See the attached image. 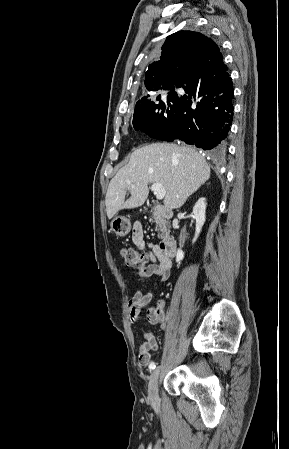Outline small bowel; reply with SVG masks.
<instances>
[{"mask_svg":"<svg viewBox=\"0 0 289 449\" xmlns=\"http://www.w3.org/2000/svg\"><path fill=\"white\" fill-rule=\"evenodd\" d=\"M131 238L133 244L139 250L145 252L151 260L147 267L138 270L139 282L144 284L152 277L155 281H166L170 276L171 259L163 256L157 245L147 243L144 240L143 228L140 223L134 225ZM151 299V292L143 293L138 291L129 300V317L132 324H136L139 321L142 307L148 304ZM147 318L150 323L157 324L162 329L166 326L162 304L149 308ZM157 348L158 342L155 334L151 331L144 333V341L138 345L139 363L144 366L147 365L151 360L150 352Z\"/></svg>","mask_w":289,"mask_h":449,"instance_id":"obj_1","label":"small bowel"}]
</instances>
